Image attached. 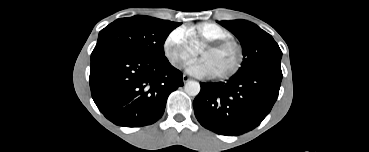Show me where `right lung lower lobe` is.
<instances>
[{
  "label": "right lung lower lobe",
  "instance_id": "right-lung-lower-lobe-1",
  "mask_svg": "<svg viewBox=\"0 0 369 152\" xmlns=\"http://www.w3.org/2000/svg\"><path fill=\"white\" fill-rule=\"evenodd\" d=\"M182 76L166 57L111 53L91 60L89 79L92 98L107 119L140 127L163 115L169 94L183 85Z\"/></svg>",
  "mask_w": 369,
  "mask_h": 152
}]
</instances>
